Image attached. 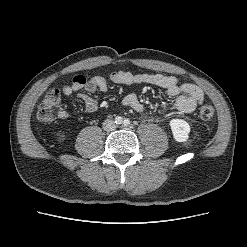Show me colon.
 Segmentation results:
<instances>
[{
  "label": "colon",
  "instance_id": "5ec220e1",
  "mask_svg": "<svg viewBox=\"0 0 247 247\" xmlns=\"http://www.w3.org/2000/svg\"><path fill=\"white\" fill-rule=\"evenodd\" d=\"M61 107V96L58 89H51L43 98L38 107V118L42 122L50 123L59 117ZM199 118L208 121L214 116V108L209 104L202 105L199 109Z\"/></svg>",
  "mask_w": 247,
  "mask_h": 247
}]
</instances>
